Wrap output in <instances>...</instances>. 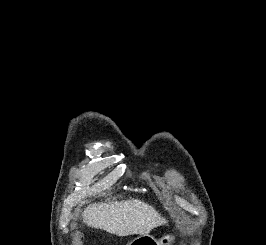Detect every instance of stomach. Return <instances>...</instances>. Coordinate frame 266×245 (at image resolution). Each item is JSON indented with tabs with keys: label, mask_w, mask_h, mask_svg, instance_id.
I'll use <instances>...</instances> for the list:
<instances>
[{
	"label": "stomach",
	"mask_w": 266,
	"mask_h": 245,
	"mask_svg": "<svg viewBox=\"0 0 266 245\" xmlns=\"http://www.w3.org/2000/svg\"><path fill=\"white\" fill-rule=\"evenodd\" d=\"M138 238H141V242H149L150 233H138ZM171 241H173V237H165V239H161L160 243H164V245H171Z\"/></svg>",
	"instance_id": "stomach-1"
}]
</instances>
